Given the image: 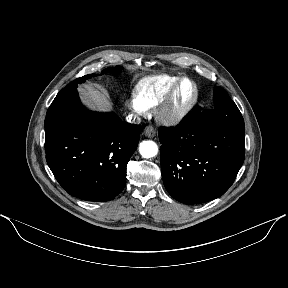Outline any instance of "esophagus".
I'll list each match as a JSON object with an SVG mask.
<instances>
[{"label":"esophagus","mask_w":288,"mask_h":288,"mask_svg":"<svg viewBox=\"0 0 288 288\" xmlns=\"http://www.w3.org/2000/svg\"><path fill=\"white\" fill-rule=\"evenodd\" d=\"M143 134L148 138H153L156 134V131L153 126H147L144 129Z\"/></svg>","instance_id":"34e87169"}]
</instances>
